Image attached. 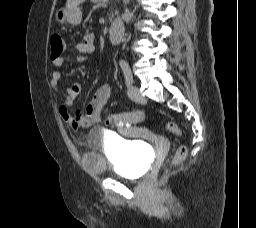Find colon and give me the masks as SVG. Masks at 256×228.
<instances>
[{
	"instance_id": "obj_1",
	"label": "colon",
	"mask_w": 256,
	"mask_h": 228,
	"mask_svg": "<svg viewBox=\"0 0 256 228\" xmlns=\"http://www.w3.org/2000/svg\"><path fill=\"white\" fill-rule=\"evenodd\" d=\"M52 46V56L59 55L63 52L65 43L64 40L59 35H54L51 39ZM144 119V114L142 111H133L130 113H116L112 114L109 117V122L114 124L115 126H124V125H133L142 122ZM167 130L174 133L177 136H181V129L175 123H168ZM187 156V147L182 144L178 146L176 152L174 153L171 164L173 166L179 165Z\"/></svg>"
}]
</instances>
